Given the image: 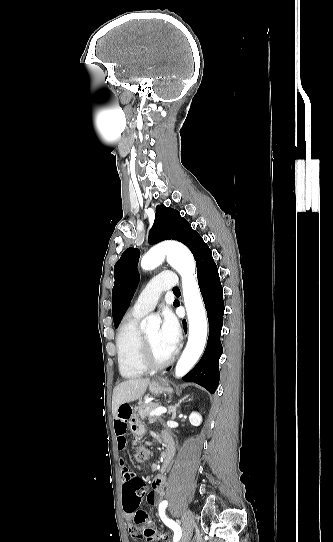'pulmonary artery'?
<instances>
[{
	"mask_svg": "<svg viewBox=\"0 0 333 542\" xmlns=\"http://www.w3.org/2000/svg\"><path fill=\"white\" fill-rule=\"evenodd\" d=\"M176 281L177 276L169 270H164L162 273L156 274L155 278L150 279L148 285L145 287L147 294L142 291L138 295L131 313L136 316H143L151 312L158 304L163 292L170 291Z\"/></svg>",
	"mask_w": 333,
	"mask_h": 542,
	"instance_id": "1",
	"label": "pulmonary artery"
}]
</instances>
